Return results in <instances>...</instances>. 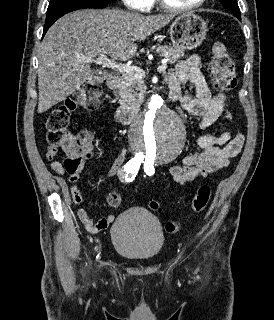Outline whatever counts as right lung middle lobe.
<instances>
[{
    "label": "right lung middle lobe",
    "mask_w": 274,
    "mask_h": 320,
    "mask_svg": "<svg viewBox=\"0 0 274 320\" xmlns=\"http://www.w3.org/2000/svg\"><path fill=\"white\" fill-rule=\"evenodd\" d=\"M116 0H50L47 14L55 12L57 10L76 6V5H83V4H92V3H113Z\"/></svg>",
    "instance_id": "dd1d6c3e"
}]
</instances>
